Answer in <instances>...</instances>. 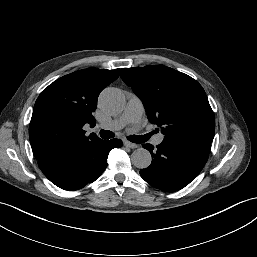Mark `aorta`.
<instances>
[{"instance_id": "obj_1", "label": "aorta", "mask_w": 257, "mask_h": 257, "mask_svg": "<svg viewBox=\"0 0 257 257\" xmlns=\"http://www.w3.org/2000/svg\"><path fill=\"white\" fill-rule=\"evenodd\" d=\"M100 107L107 113L117 114L123 111L125 107V97L123 93L116 88H106L99 97ZM132 163L139 169H145L150 166L152 157L148 150L138 148L131 155Z\"/></svg>"}]
</instances>
